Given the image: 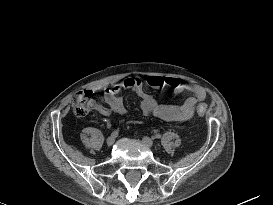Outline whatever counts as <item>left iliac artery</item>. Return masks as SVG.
Here are the masks:
<instances>
[{
    "instance_id": "1",
    "label": "left iliac artery",
    "mask_w": 273,
    "mask_h": 205,
    "mask_svg": "<svg viewBox=\"0 0 273 205\" xmlns=\"http://www.w3.org/2000/svg\"><path fill=\"white\" fill-rule=\"evenodd\" d=\"M153 138H154V139H155V138H156V139H160V138H161V135H160V134H156V135L153 136Z\"/></svg>"
}]
</instances>
